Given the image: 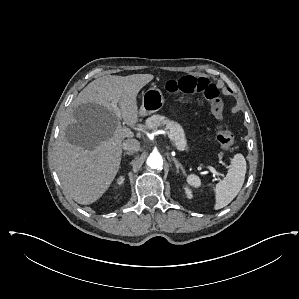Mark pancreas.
<instances>
[{
    "label": "pancreas",
    "instance_id": "cf45deb5",
    "mask_svg": "<svg viewBox=\"0 0 299 299\" xmlns=\"http://www.w3.org/2000/svg\"><path fill=\"white\" fill-rule=\"evenodd\" d=\"M162 125H164L166 129L169 130V133L172 135L173 144L179 150L186 149L187 142H186L184 130L177 122L169 120L166 117L159 114L152 115L145 122V127L148 129H157Z\"/></svg>",
    "mask_w": 299,
    "mask_h": 299
}]
</instances>
